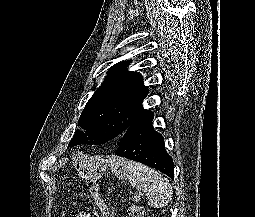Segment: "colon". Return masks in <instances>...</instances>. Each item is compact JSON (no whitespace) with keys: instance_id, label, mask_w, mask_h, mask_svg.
I'll use <instances>...</instances> for the list:
<instances>
[{"instance_id":"obj_1","label":"colon","mask_w":255,"mask_h":217,"mask_svg":"<svg viewBox=\"0 0 255 217\" xmlns=\"http://www.w3.org/2000/svg\"><path fill=\"white\" fill-rule=\"evenodd\" d=\"M89 188L91 195L95 199L98 205L101 206V209L104 208L103 200L99 194V191L96 185L92 182L89 183ZM128 217H143V209L138 204H132L128 209Z\"/></svg>"}]
</instances>
